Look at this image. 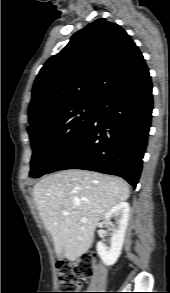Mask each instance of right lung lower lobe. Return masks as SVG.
<instances>
[{
  "instance_id": "1",
  "label": "right lung lower lobe",
  "mask_w": 170,
  "mask_h": 293,
  "mask_svg": "<svg viewBox=\"0 0 170 293\" xmlns=\"http://www.w3.org/2000/svg\"><path fill=\"white\" fill-rule=\"evenodd\" d=\"M153 109L147 69L110 91L97 105L95 117L47 173L84 169L124 178L134 188L142 170Z\"/></svg>"
}]
</instances>
